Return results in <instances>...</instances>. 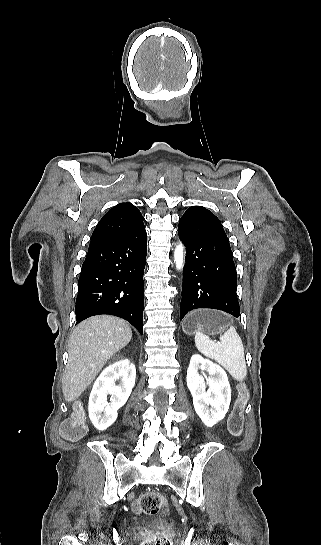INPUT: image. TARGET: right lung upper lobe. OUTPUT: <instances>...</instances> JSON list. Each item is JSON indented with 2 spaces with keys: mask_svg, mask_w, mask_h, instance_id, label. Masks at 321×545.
Wrapping results in <instances>:
<instances>
[{
  "mask_svg": "<svg viewBox=\"0 0 321 545\" xmlns=\"http://www.w3.org/2000/svg\"><path fill=\"white\" fill-rule=\"evenodd\" d=\"M142 226L143 216L137 207L131 203H120L99 221L93 231L90 246L121 238Z\"/></svg>",
  "mask_w": 321,
  "mask_h": 545,
  "instance_id": "right-lung-upper-lobe-1",
  "label": "right lung upper lobe"
}]
</instances>
